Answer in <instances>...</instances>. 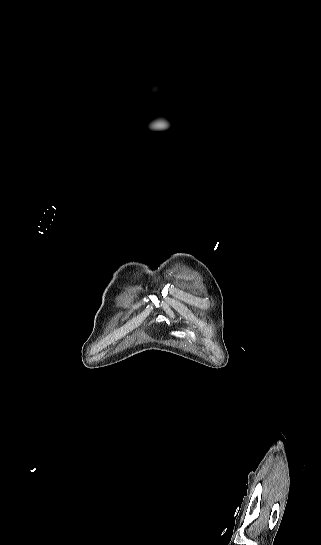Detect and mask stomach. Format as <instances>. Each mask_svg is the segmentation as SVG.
Wrapping results in <instances>:
<instances>
[{"instance_id":"1","label":"stomach","mask_w":321,"mask_h":545,"mask_svg":"<svg viewBox=\"0 0 321 545\" xmlns=\"http://www.w3.org/2000/svg\"><path fill=\"white\" fill-rule=\"evenodd\" d=\"M179 337H187L190 343H192V341H195V339H197V335L196 333H193V331H181V333H179Z\"/></svg>"}]
</instances>
